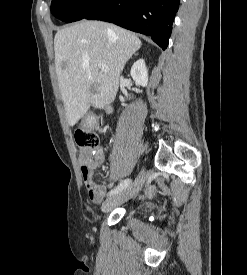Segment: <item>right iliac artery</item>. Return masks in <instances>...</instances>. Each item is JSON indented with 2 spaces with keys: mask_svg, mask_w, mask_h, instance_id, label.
Here are the masks:
<instances>
[{
  "mask_svg": "<svg viewBox=\"0 0 247 275\" xmlns=\"http://www.w3.org/2000/svg\"><path fill=\"white\" fill-rule=\"evenodd\" d=\"M131 183L130 179H125L123 180L114 190H112L109 195H114L117 194L118 192L122 191L125 189L129 184Z\"/></svg>",
  "mask_w": 247,
  "mask_h": 275,
  "instance_id": "1",
  "label": "right iliac artery"
}]
</instances>
